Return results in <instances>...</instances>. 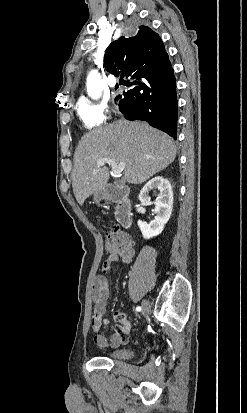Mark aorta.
Here are the masks:
<instances>
[{"label": "aorta", "mask_w": 247, "mask_h": 413, "mask_svg": "<svg viewBox=\"0 0 247 413\" xmlns=\"http://www.w3.org/2000/svg\"><path fill=\"white\" fill-rule=\"evenodd\" d=\"M87 92L93 99H98L102 93V80L100 74L94 70L87 78Z\"/></svg>", "instance_id": "1"}]
</instances>
